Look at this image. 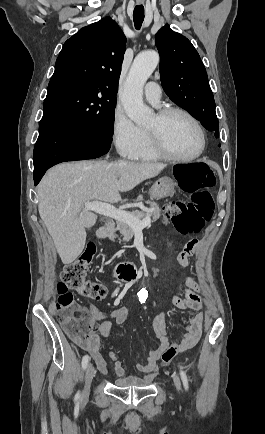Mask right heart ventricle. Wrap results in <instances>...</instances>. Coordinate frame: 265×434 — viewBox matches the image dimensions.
I'll use <instances>...</instances> for the list:
<instances>
[{
  "label": "right heart ventricle",
  "instance_id": "right-heart-ventricle-1",
  "mask_svg": "<svg viewBox=\"0 0 265 434\" xmlns=\"http://www.w3.org/2000/svg\"><path fill=\"white\" fill-rule=\"evenodd\" d=\"M143 141L137 153L132 154L131 160L141 162H155L163 159L155 150L152 137L147 127H142Z\"/></svg>",
  "mask_w": 265,
  "mask_h": 434
}]
</instances>
